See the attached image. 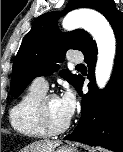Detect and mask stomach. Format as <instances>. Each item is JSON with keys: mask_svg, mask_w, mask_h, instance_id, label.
I'll return each mask as SVG.
<instances>
[{"mask_svg": "<svg viewBox=\"0 0 123 152\" xmlns=\"http://www.w3.org/2000/svg\"><path fill=\"white\" fill-rule=\"evenodd\" d=\"M53 152H78V151H77V148H75V147L62 146V147H59L58 149H56Z\"/></svg>", "mask_w": 123, "mask_h": 152, "instance_id": "obj_1", "label": "stomach"}]
</instances>
